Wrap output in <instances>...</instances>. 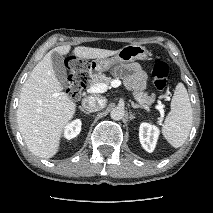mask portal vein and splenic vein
Here are the masks:
<instances>
[{
	"mask_svg": "<svg viewBox=\"0 0 213 213\" xmlns=\"http://www.w3.org/2000/svg\"><path fill=\"white\" fill-rule=\"evenodd\" d=\"M120 85H121V81L119 79H115L111 82L110 86H108L104 83H99V84L90 86V88L88 89V93H91V94L104 93L107 91L108 88H112V87L116 88V87H119ZM163 107L164 106L161 103L156 105V109H158L160 111L162 117L164 114ZM145 108H146V110H149V108L147 106Z\"/></svg>",
	"mask_w": 213,
	"mask_h": 213,
	"instance_id": "1",
	"label": "portal vein and splenic vein"
}]
</instances>
